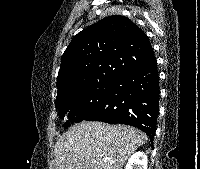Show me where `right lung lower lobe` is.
Wrapping results in <instances>:
<instances>
[{
    "mask_svg": "<svg viewBox=\"0 0 200 169\" xmlns=\"http://www.w3.org/2000/svg\"><path fill=\"white\" fill-rule=\"evenodd\" d=\"M158 108L159 76L155 62L116 79L105 101L85 120L131 125L152 140Z\"/></svg>",
    "mask_w": 200,
    "mask_h": 169,
    "instance_id": "right-lung-lower-lobe-1",
    "label": "right lung lower lobe"
}]
</instances>
